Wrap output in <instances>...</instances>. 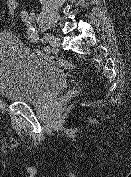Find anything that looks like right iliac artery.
<instances>
[{"instance_id": "right-iliac-artery-1", "label": "right iliac artery", "mask_w": 131, "mask_h": 177, "mask_svg": "<svg viewBox=\"0 0 131 177\" xmlns=\"http://www.w3.org/2000/svg\"><path fill=\"white\" fill-rule=\"evenodd\" d=\"M21 16V20L25 23V25L27 26V33H28V37L30 38V40L32 42H39V37L38 34L35 30V28L33 27V25L31 24V17L28 14L27 11L23 10L20 14ZM43 41V40H42ZM44 51L46 53H50L51 52V48L49 46H45L44 47Z\"/></svg>"}]
</instances>
